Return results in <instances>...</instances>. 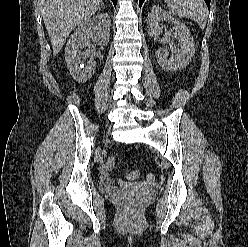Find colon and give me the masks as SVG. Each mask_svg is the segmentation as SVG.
Wrapping results in <instances>:
<instances>
[{
	"instance_id": "5ec220e1",
	"label": "colon",
	"mask_w": 248,
	"mask_h": 247,
	"mask_svg": "<svg viewBox=\"0 0 248 247\" xmlns=\"http://www.w3.org/2000/svg\"><path fill=\"white\" fill-rule=\"evenodd\" d=\"M106 165H107V168L109 170H113L115 168V165H116V160L113 157H109L107 159ZM139 175H140V172L137 171V170L131 171V172L128 173V177L130 179H135V178L139 177ZM146 177H147L148 180H153L154 179V175L152 173H148L146 175Z\"/></svg>"
}]
</instances>
